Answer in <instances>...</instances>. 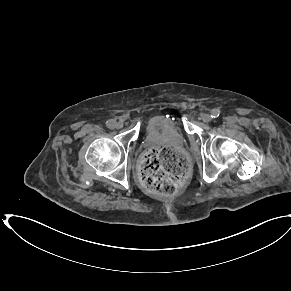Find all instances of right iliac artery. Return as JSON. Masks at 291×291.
I'll list each match as a JSON object with an SVG mask.
<instances>
[{"mask_svg":"<svg viewBox=\"0 0 291 291\" xmlns=\"http://www.w3.org/2000/svg\"><path fill=\"white\" fill-rule=\"evenodd\" d=\"M115 124H116V122H115L114 120H108V121L106 122V126H107L108 128H110V129L115 128Z\"/></svg>","mask_w":291,"mask_h":291,"instance_id":"right-iliac-artery-1","label":"right iliac artery"}]
</instances>
